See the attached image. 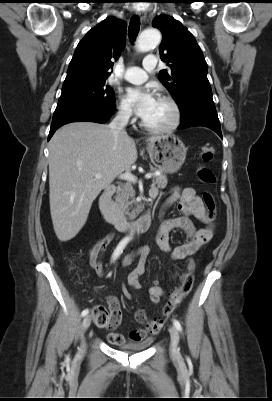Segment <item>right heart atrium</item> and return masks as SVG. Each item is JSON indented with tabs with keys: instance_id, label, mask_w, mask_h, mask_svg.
Instances as JSON below:
<instances>
[{
	"instance_id": "obj_1",
	"label": "right heart atrium",
	"mask_w": 272,
	"mask_h": 401,
	"mask_svg": "<svg viewBox=\"0 0 272 401\" xmlns=\"http://www.w3.org/2000/svg\"><path fill=\"white\" fill-rule=\"evenodd\" d=\"M117 117L121 121L128 122L132 119V111L126 104L119 102L117 104Z\"/></svg>"
}]
</instances>
